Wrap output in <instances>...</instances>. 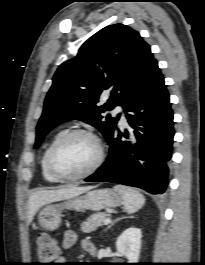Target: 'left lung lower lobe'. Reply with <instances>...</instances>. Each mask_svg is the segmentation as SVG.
<instances>
[{"mask_svg": "<svg viewBox=\"0 0 205 265\" xmlns=\"http://www.w3.org/2000/svg\"><path fill=\"white\" fill-rule=\"evenodd\" d=\"M123 109L133 131H114L107 160L85 181L119 183L163 194L169 182L174 129L169 94L157 63Z\"/></svg>", "mask_w": 205, "mask_h": 265, "instance_id": "obj_1", "label": "left lung lower lobe"}]
</instances>
